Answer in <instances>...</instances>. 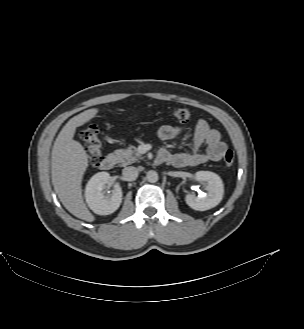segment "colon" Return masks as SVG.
Listing matches in <instances>:
<instances>
[{"instance_id":"1","label":"colon","mask_w":304,"mask_h":329,"mask_svg":"<svg viewBox=\"0 0 304 329\" xmlns=\"http://www.w3.org/2000/svg\"><path fill=\"white\" fill-rule=\"evenodd\" d=\"M174 118L179 122H187L191 118V112L187 108H177ZM81 139L86 143L88 161L92 166L97 165L102 159V143L99 138V129L96 125H89L80 133ZM224 163L231 166L235 161L234 152L227 149L223 155Z\"/></svg>"}]
</instances>
